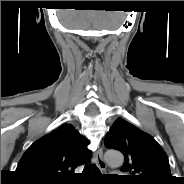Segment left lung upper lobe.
<instances>
[{
    "label": "left lung upper lobe",
    "mask_w": 184,
    "mask_h": 184,
    "mask_svg": "<svg viewBox=\"0 0 184 184\" xmlns=\"http://www.w3.org/2000/svg\"><path fill=\"white\" fill-rule=\"evenodd\" d=\"M105 146L125 156L121 168L132 184H171L174 178L162 147L149 134L128 121L117 118L105 137Z\"/></svg>",
    "instance_id": "5c2ea615"
}]
</instances>
